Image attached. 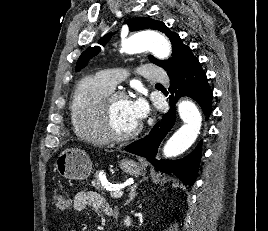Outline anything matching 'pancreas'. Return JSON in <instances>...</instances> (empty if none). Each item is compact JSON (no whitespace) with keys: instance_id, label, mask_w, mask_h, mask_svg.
Wrapping results in <instances>:
<instances>
[{"instance_id":"pancreas-1","label":"pancreas","mask_w":268,"mask_h":231,"mask_svg":"<svg viewBox=\"0 0 268 231\" xmlns=\"http://www.w3.org/2000/svg\"><path fill=\"white\" fill-rule=\"evenodd\" d=\"M102 180L105 182L104 185L102 184ZM92 186H94L98 191H104L109 186V182L106 180L105 176L100 179L99 173H96L95 179L92 181Z\"/></svg>"}]
</instances>
